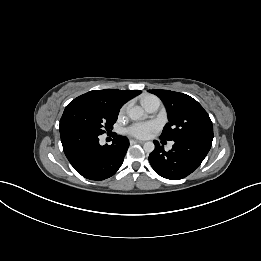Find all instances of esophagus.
Listing matches in <instances>:
<instances>
[{
	"mask_svg": "<svg viewBox=\"0 0 261 261\" xmlns=\"http://www.w3.org/2000/svg\"><path fill=\"white\" fill-rule=\"evenodd\" d=\"M131 142L138 143V144H143L144 143V141H142V140H131Z\"/></svg>",
	"mask_w": 261,
	"mask_h": 261,
	"instance_id": "1",
	"label": "esophagus"
}]
</instances>
